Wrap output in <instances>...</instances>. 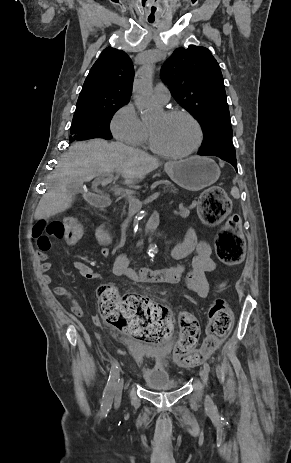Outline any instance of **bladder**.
<instances>
[{
    "instance_id": "31cf9c89",
    "label": "bladder",
    "mask_w": 291,
    "mask_h": 463,
    "mask_svg": "<svg viewBox=\"0 0 291 463\" xmlns=\"http://www.w3.org/2000/svg\"><path fill=\"white\" fill-rule=\"evenodd\" d=\"M124 346L130 357L136 361H150L151 367L141 372V379L147 388H178L183 384L180 378H173L167 369V357L149 350L147 344L126 338Z\"/></svg>"
}]
</instances>
